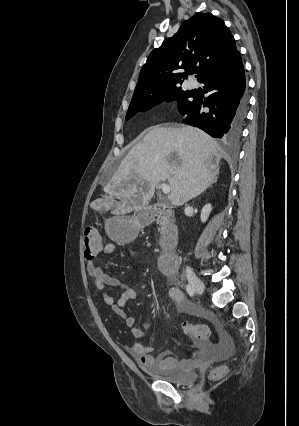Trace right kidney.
<instances>
[{
    "label": "right kidney",
    "mask_w": 299,
    "mask_h": 426,
    "mask_svg": "<svg viewBox=\"0 0 299 426\" xmlns=\"http://www.w3.org/2000/svg\"><path fill=\"white\" fill-rule=\"evenodd\" d=\"M211 210H212V206H211V204H206L203 208H202V210H201V221L203 222V223H205L206 221H207V219H208V217H209V215H210V212H211Z\"/></svg>",
    "instance_id": "right-kidney-1"
}]
</instances>
